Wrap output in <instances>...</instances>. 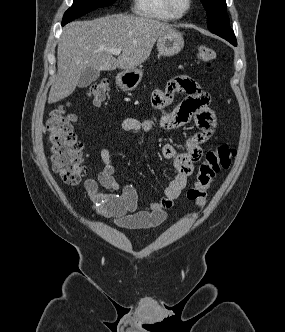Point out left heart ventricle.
I'll return each mask as SVG.
<instances>
[{
	"instance_id": "obj_1",
	"label": "left heart ventricle",
	"mask_w": 285,
	"mask_h": 332,
	"mask_svg": "<svg viewBox=\"0 0 285 332\" xmlns=\"http://www.w3.org/2000/svg\"><path fill=\"white\" fill-rule=\"evenodd\" d=\"M179 9H184L187 6V0H174Z\"/></svg>"
}]
</instances>
